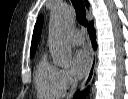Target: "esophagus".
<instances>
[{"instance_id": "1", "label": "esophagus", "mask_w": 128, "mask_h": 99, "mask_svg": "<svg viewBox=\"0 0 128 99\" xmlns=\"http://www.w3.org/2000/svg\"><path fill=\"white\" fill-rule=\"evenodd\" d=\"M95 66H96V55H95V52H93L92 57H91L90 67H89L88 73H87L84 81L82 82V84L80 86V91L85 90L91 83V81L94 77Z\"/></svg>"}]
</instances>
